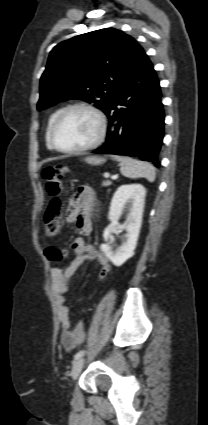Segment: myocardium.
<instances>
[{"instance_id":"1","label":"myocardium","mask_w":208,"mask_h":425,"mask_svg":"<svg viewBox=\"0 0 208 425\" xmlns=\"http://www.w3.org/2000/svg\"><path fill=\"white\" fill-rule=\"evenodd\" d=\"M73 110H84L87 111L89 113H91L92 115H94V117L96 118L97 122H98V133L96 138L90 142L89 144L79 147V148H73V149H65V148H61L60 146L57 145L56 141H55V131L60 123V121L62 120V118L69 113L70 111ZM106 132H107V120L106 117L104 115V113L98 109L97 107L85 103V102H79V103H73L70 104L66 107H64L63 109H61L58 114L56 115L55 119L53 120L51 127H50V132H49V142L50 145L53 149H55L58 152L61 153H66V154H80V153H84L87 152L89 150H92L94 148H96L97 146H99L103 140L105 139L106 136Z\"/></svg>"}]
</instances>
